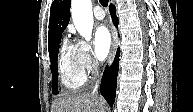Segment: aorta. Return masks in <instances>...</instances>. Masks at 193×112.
Listing matches in <instances>:
<instances>
[{
	"label": "aorta",
	"mask_w": 193,
	"mask_h": 112,
	"mask_svg": "<svg viewBox=\"0 0 193 112\" xmlns=\"http://www.w3.org/2000/svg\"><path fill=\"white\" fill-rule=\"evenodd\" d=\"M71 15L78 33L89 41L94 22L91 0H72Z\"/></svg>",
	"instance_id": "1"
}]
</instances>
